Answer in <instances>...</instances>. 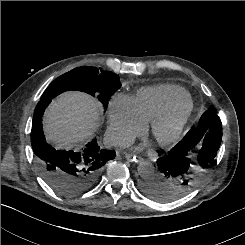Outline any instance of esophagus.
Segmentation results:
<instances>
[{"label": "esophagus", "instance_id": "1", "mask_svg": "<svg viewBox=\"0 0 245 245\" xmlns=\"http://www.w3.org/2000/svg\"><path fill=\"white\" fill-rule=\"evenodd\" d=\"M125 158L131 163H140L144 160L142 157L133 154H126Z\"/></svg>", "mask_w": 245, "mask_h": 245}]
</instances>
